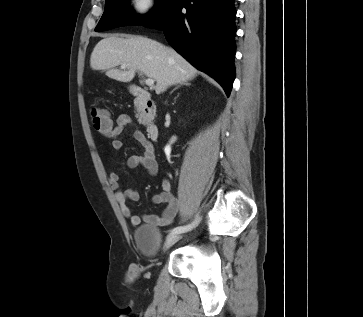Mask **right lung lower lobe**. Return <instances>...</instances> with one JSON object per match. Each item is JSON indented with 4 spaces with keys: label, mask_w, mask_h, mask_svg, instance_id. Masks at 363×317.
I'll return each instance as SVG.
<instances>
[{
    "label": "right lung lower lobe",
    "mask_w": 363,
    "mask_h": 317,
    "mask_svg": "<svg viewBox=\"0 0 363 317\" xmlns=\"http://www.w3.org/2000/svg\"><path fill=\"white\" fill-rule=\"evenodd\" d=\"M235 16L234 0H174L161 17L144 26L163 30L177 52L229 95L235 79Z\"/></svg>",
    "instance_id": "98d812e1"
}]
</instances>
